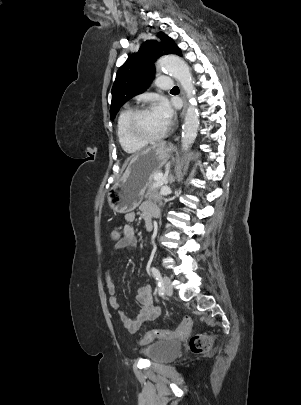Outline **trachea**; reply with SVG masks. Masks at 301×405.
<instances>
[{
  "instance_id": "1",
  "label": "trachea",
  "mask_w": 301,
  "mask_h": 405,
  "mask_svg": "<svg viewBox=\"0 0 301 405\" xmlns=\"http://www.w3.org/2000/svg\"><path fill=\"white\" fill-rule=\"evenodd\" d=\"M172 90H179V88L177 86H175Z\"/></svg>"
}]
</instances>
